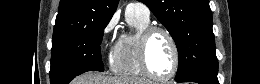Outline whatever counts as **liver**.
Listing matches in <instances>:
<instances>
[{"label": "liver", "instance_id": "1", "mask_svg": "<svg viewBox=\"0 0 260 84\" xmlns=\"http://www.w3.org/2000/svg\"><path fill=\"white\" fill-rule=\"evenodd\" d=\"M75 84H151L150 81L137 77H108L99 73L87 72L80 75Z\"/></svg>", "mask_w": 260, "mask_h": 84}]
</instances>
